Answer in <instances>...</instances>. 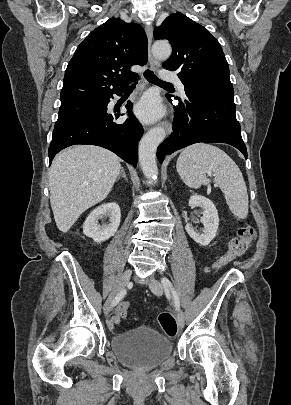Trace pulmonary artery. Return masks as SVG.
<instances>
[{"label": "pulmonary artery", "mask_w": 291, "mask_h": 405, "mask_svg": "<svg viewBox=\"0 0 291 405\" xmlns=\"http://www.w3.org/2000/svg\"><path fill=\"white\" fill-rule=\"evenodd\" d=\"M160 78L164 81L174 82L178 86V89L180 90V92L182 94L185 93V87H184L183 83L181 82L179 77L174 72H171L168 70H162L160 72Z\"/></svg>", "instance_id": "pulmonary-artery-1"}]
</instances>
